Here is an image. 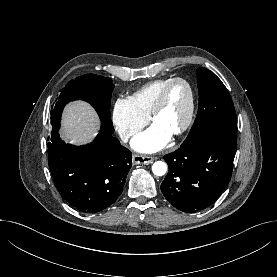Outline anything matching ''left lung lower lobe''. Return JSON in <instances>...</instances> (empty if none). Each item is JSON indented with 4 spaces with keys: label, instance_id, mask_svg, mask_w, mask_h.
<instances>
[{
    "label": "left lung lower lobe",
    "instance_id": "obj_1",
    "mask_svg": "<svg viewBox=\"0 0 277 277\" xmlns=\"http://www.w3.org/2000/svg\"><path fill=\"white\" fill-rule=\"evenodd\" d=\"M237 133L213 131L164 156L169 172L161 184L165 198L192 213L212 204L229 183Z\"/></svg>",
    "mask_w": 277,
    "mask_h": 277
}]
</instances>
